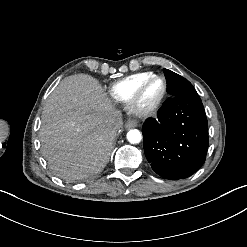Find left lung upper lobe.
Segmentation results:
<instances>
[{
	"mask_svg": "<svg viewBox=\"0 0 247 247\" xmlns=\"http://www.w3.org/2000/svg\"><path fill=\"white\" fill-rule=\"evenodd\" d=\"M164 73L168 81L167 92L170 94V97L166 101L173 97L197 94L193 85L184 77L168 69H164Z\"/></svg>",
	"mask_w": 247,
	"mask_h": 247,
	"instance_id": "obj_1",
	"label": "left lung upper lobe"
}]
</instances>
